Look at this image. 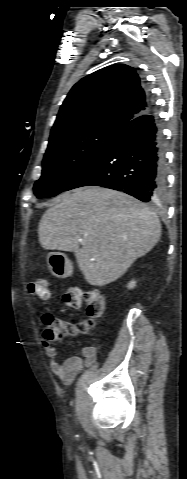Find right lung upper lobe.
I'll return each instance as SVG.
<instances>
[{
    "instance_id": "1",
    "label": "right lung upper lobe",
    "mask_w": 187,
    "mask_h": 479,
    "mask_svg": "<svg viewBox=\"0 0 187 479\" xmlns=\"http://www.w3.org/2000/svg\"><path fill=\"white\" fill-rule=\"evenodd\" d=\"M151 109L150 98L135 69L124 64L108 66L73 86L60 108L50 139L91 125L104 124L122 130Z\"/></svg>"
}]
</instances>
